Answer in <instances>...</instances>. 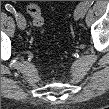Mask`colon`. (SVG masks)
Masks as SVG:
<instances>
[{
	"instance_id": "1",
	"label": "colon",
	"mask_w": 109,
	"mask_h": 109,
	"mask_svg": "<svg viewBox=\"0 0 109 109\" xmlns=\"http://www.w3.org/2000/svg\"><path fill=\"white\" fill-rule=\"evenodd\" d=\"M27 12L32 19L33 26L41 33L44 31L45 19L42 14L41 8L37 4H30L27 7Z\"/></svg>"
}]
</instances>
